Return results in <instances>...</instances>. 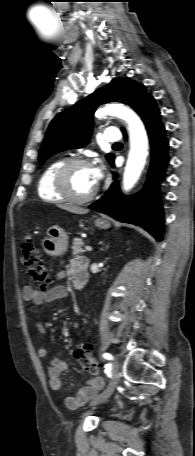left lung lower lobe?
Segmentation results:
<instances>
[{
    "mask_svg": "<svg viewBox=\"0 0 195 456\" xmlns=\"http://www.w3.org/2000/svg\"><path fill=\"white\" fill-rule=\"evenodd\" d=\"M137 113L146 125L151 145V165L144 190L134 196L124 197L115 181L105 195L89 208L108 214L118 221L140 225L160 241L164 217L158 184L165 176L169 145L154 98L150 97L142 104ZM116 178L117 174L114 175Z\"/></svg>",
    "mask_w": 195,
    "mask_h": 456,
    "instance_id": "obj_1",
    "label": "left lung lower lobe"
}]
</instances>
